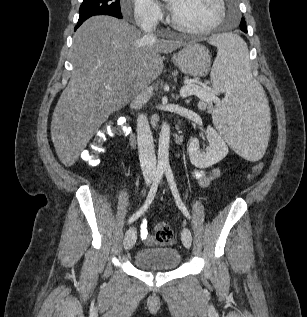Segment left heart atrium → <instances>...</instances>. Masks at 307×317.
<instances>
[{"label": "left heart atrium", "mask_w": 307, "mask_h": 317, "mask_svg": "<svg viewBox=\"0 0 307 317\" xmlns=\"http://www.w3.org/2000/svg\"><path fill=\"white\" fill-rule=\"evenodd\" d=\"M169 1H170V8L173 9V5H172V3H171V0H169Z\"/></svg>", "instance_id": "39dd6f15"}]
</instances>
